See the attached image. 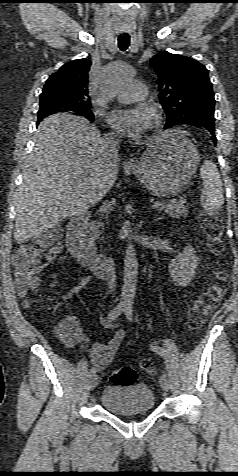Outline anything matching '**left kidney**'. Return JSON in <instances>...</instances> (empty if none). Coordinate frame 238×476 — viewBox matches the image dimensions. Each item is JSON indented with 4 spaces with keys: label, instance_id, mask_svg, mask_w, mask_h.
Masks as SVG:
<instances>
[{
    "label": "left kidney",
    "instance_id": "5707ae66",
    "mask_svg": "<svg viewBox=\"0 0 238 476\" xmlns=\"http://www.w3.org/2000/svg\"><path fill=\"white\" fill-rule=\"evenodd\" d=\"M198 258L192 246H186L183 253L176 256L169 264L170 275L175 284L187 287L195 275Z\"/></svg>",
    "mask_w": 238,
    "mask_h": 476
}]
</instances>
